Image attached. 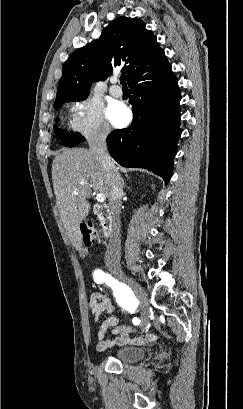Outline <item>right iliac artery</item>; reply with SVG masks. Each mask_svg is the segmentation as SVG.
<instances>
[{
    "label": "right iliac artery",
    "mask_w": 243,
    "mask_h": 409,
    "mask_svg": "<svg viewBox=\"0 0 243 409\" xmlns=\"http://www.w3.org/2000/svg\"><path fill=\"white\" fill-rule=\"evenodd\" d=\"M93 277L96 283L105 282L109 287H111L117 302L128 311L134 312L137 305L139 304V301L136 299L135 295L127 285L119 282L111 275L106 274L104 271L99 269L94 271ZM133 323L135 325H139L140 319L134 318Z\"/></svg>",
    "instance_id": "obj_1"
}]
</instances>
